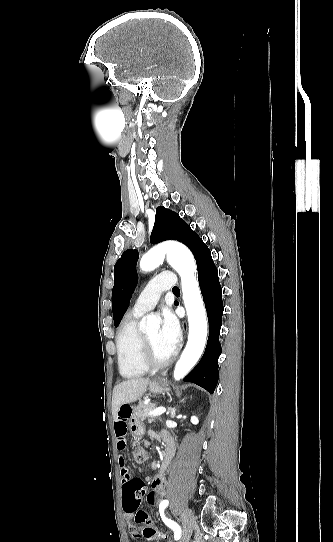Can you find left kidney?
I'll list each match as a JSON object with an SVG mask.
<instances>
[{"instance_id":"left-kidney-1","label":"left kidney","mask_w":333,"mask_h":542,"mask_svg":"<svg viewBox=\"0 0 333 542\" xmlns=\"http://www.w3.org/2000/svg\"><path fill=\"white\" fill-rule=\"evenodd\" d=\"M191 424H194V426L199 424V418H197V416H191Z\"/></svg>"}]
</instances>
